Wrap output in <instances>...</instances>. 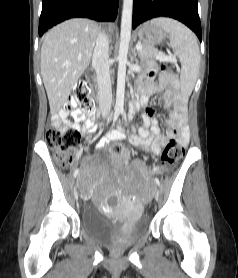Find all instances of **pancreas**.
Returning a JSON list of instances; mask_svg holds the SVG:
<instances>
[{
    "label": "pancreas",
    "instance_id": "pancreas-1",
    "mask_svg": "<svg viewBox=\"0 0 238 278\" xmlns=\"http://www.w3.org/2000/svg\"><path fill=\"white\" fill-rule=\"evenodd\" d=\"M143 49L139 51V56L141 59H157V56L161 53L153 46L142 44Z\"/></svg>",
    "mask_w": 238,
    "mask_h": 278
}]
</instances>
